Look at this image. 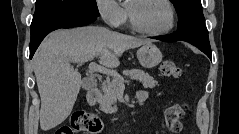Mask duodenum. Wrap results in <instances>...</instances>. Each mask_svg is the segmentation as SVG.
I'll list each match as a JSON object with an SVG mask.
<instances>
[{
	"label": "duodenum",
	"instance_id": "duodenum-1",
	"mask_svg": "<svg viewBox=\"0 0 239 134\" xmlns=\"http://www.w3.org/2000/svg\"><path fill=\"white\" fill-rule=\"evenodd\" d=\"M100 97V90L98 87H93L88 90L87 92V100L90 106H95L97 104V101ZM137 101L139 103L143 102V99L141 97L137 96Z\"/></svg>",
	"mask_w": 239,
	"mask_h": 134
}]
</instances>
